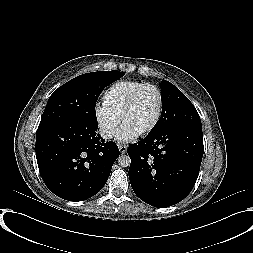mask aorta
Masks as SVG:
<instances>
[{"instance_id":"1","label":"aorta","mask_w":253,"mask_h":253,"mask_svg":"<svg viewBox=\"0 0 253 253\" xmlns=\"http://www.w3.org/2000/svg\"><path fill=\"white\" fill-rule=\"evenodd\" d=\"M117 162L121 167H129L131 164V159L128 155H120L117 158Z\"/></svg>"}]
</instances>
